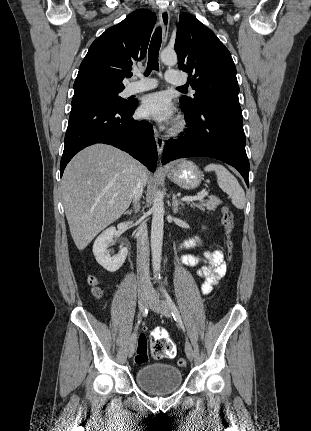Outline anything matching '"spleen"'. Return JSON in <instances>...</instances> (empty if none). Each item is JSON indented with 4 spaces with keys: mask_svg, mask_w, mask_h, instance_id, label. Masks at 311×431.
Here are the masks:
<instances>
[{
    "mask_svg": "<svg viewBox=\"0 0 311 431\" xmlns=\"http://www.w3.org/2000/svg\"><path fill=\"white\" fill-rule=\"evenodd\" d=\"M204 172H215L217 176V184L223 192H226L231 198V202L238 210H243L246 204L245 192L239 186L238 180L220 164H208L204 168Z\"/></svg>",
    "mask_w": 311,
    "mask_h": 431,
    "instance_id": "3e777b00",
    "label": "spleen"
}]
</instances>
